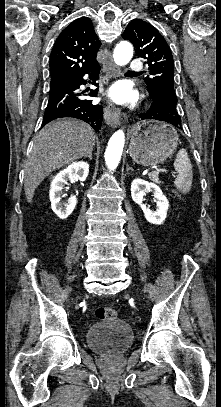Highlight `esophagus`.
<instances>
[{
  "label": "esophagus",
  "instance_id": "1",
  "mask_svg": "<svg viewBox=\"0 0 221 407\" xmlns=\"http://www.w3.org/2000/svg\"><path fill=\"white\" fill-rule=\"evenodd\" d=\"M103 71L108 77L120 74V68L114 64L110 53L108 54L107 61L103 66ZM119 117L120 109L117 108L111 101L107 100L104 107V118L106 123L115 128L119 125Z\"/></svg>",
  "mask_w": 221,
  "mask_h": 407
}]
</instances>
